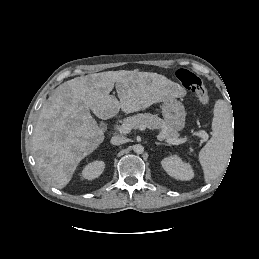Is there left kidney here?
I'll use <instances>...</instances> for the list:
<instances>
[{
    "label": "left kidney",
    "instance_id": "obj_1",
    "mask_svg": "<svg viewBox=\"0 0 259 259\" xmlns=\"http://www.w3.org/2000/svg\"><path fill=\"white\" fill-rule=\"evenodd\" d=\"M161 164L166 173L175 179L188 181L194 177L191 165L177 155L164 158Z\"/></svg>",
    "mask_w": 259,
    "mask_h": 259
}]
</instances>
